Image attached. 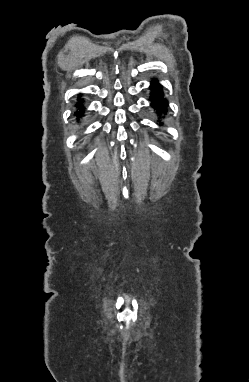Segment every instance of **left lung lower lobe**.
<instances>
[{
    "label": "left lung lower lobe",
    "mask_w": 249,
    "mask_h": 382,
    "mask_svg": "<svg viewBox=\"0 0 249 382\" xmlns=\"http://www.w3.org/2000/svg\"><path fill=\"white\" fill-rule=\"evenodd\" d=\"M150 88L152 90L150 97L152 107L156 109L159 114H166L167 100L163 97L162 86L155 80L151 83Z\"/></svg>",
    "instance_id": "1"
}]
</instances>
